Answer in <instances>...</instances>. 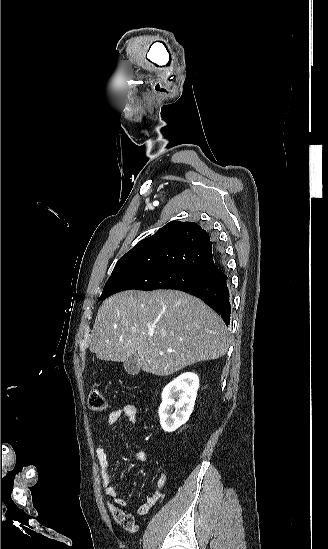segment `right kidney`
<instances>
[{
	"mask_svg": "<svg viewBox=\"0 0 328 549\" xmlns=\"http://www.w3.org/2000/svg\"><path fill=\"white\" fill-rule=\"evenodd\" d=\"M198 387L199 377L195 373H183L164 387L159 417L161 427L166 433H173L188 421L193 411ZM176 397H179L177 403ZM173 405L176 413H173L171 409Z\"/></svg>",
	"mask_w": 328,
	"mask_h": 549,
	"instance_id": "1",
	"label": "right kidney"
}]
</instances>
